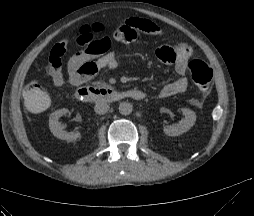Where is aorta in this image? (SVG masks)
I'll use <instances>...</instances> for the list:
<instances>
[{
	"instance_id": "obj_1",
	"label": "aorta",
	"mask_w": 254,
	"mask_h": 216,
	"mask_svg": "<svg viewBox=\"0 0 254 216\" xmlns=\"http://www.w3.org/2000/svg\"><path fill=\"white\" fill-rule=\"evenodd\" d=\"M133 106L129 102H121L119 104V112L121 115H130L132 113Z\"/></svg>"
}]
</instances>
